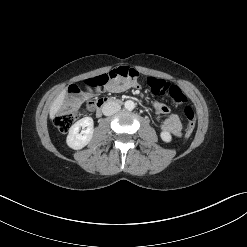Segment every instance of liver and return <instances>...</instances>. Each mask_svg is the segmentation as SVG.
<instances>
[{"label":"liver","instance_id":"obj_1","mask_svg":"<svg viewBox=\"0 0 247 247\" xmlns=\"http://www.w3.org/2000/svg\"><path fill=\"white\" fill-rule=\"evenodd\" d=\"M65 94H66V90L61 91L60 94L57 96V98L52 103V105L50 107V111H49V115H50L51 120L54 119L55 115L61 109L63 102H64Z\"/></svg>","mask_w":247,"mask_h":247}]
</instances>
